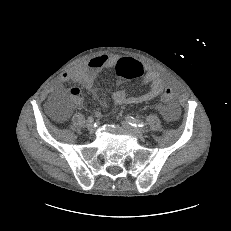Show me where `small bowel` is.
I'll return each mask as SVG.
<instances>
[{
    "mask_svg": "<svg viewBox=\"0 0 231 231\" xmlns=\"http://www.w3.org/2000/svg\"><path fill=\"white\" fill-rule=\"evenodd\" d=\"M119 60V56L112 54H104L93 57L88 62L79 65L69 71L64 72L60 79L56 82L54 88L58 89L65 82H75L80 84L86 90H94V82L98 74L105 69L113 67ZM144 67V66H143ZM145 73L142 76V83L148 85L149 89L142 95L134 96L124 91H115L112 94V100L117 105H133L150 101L158 97L170 82L162 77V75L150 66L144 67ZM70 94L79 106H83V97L81 91L73 87L70 89ZM104 104V101H100ZM161 114L168 121H174L179 115V108L176 103L168 104L161 108Z\"/></svg>",
    "mask_w": 231,
    "mask_h": 231,
    "instance_id": "small-bowel-1",
    "label": "small bowel"
}]
</instances>
